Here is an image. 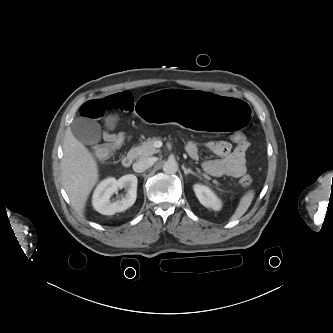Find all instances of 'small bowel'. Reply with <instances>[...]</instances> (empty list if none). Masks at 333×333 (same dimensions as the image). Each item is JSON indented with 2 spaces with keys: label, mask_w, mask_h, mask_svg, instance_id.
<instances>
[{
  "label": "small bowel",
  "mask_w": 333,
  "mask_h": 333,
  "mask_svg": "<svg viewBox=\"0 0 333 333\" xmlns=\"http://www.w3.org/2000/svg\"><path fill=\"white\" fill-rule=\"evenodd\" d=\"M133 108L134 99L132 94L123 91L86 101L81 105L79 111L85 119H100L110 110L132 111ZM206 147L218 156L216 159L203 162L202 167L206 173L215 177L230 176L236 178L245 174L246 153L249 149L247 141L236 145L234 148L224 141H211L206 144ZM186 152L193 159L199 157V147L193 142L187 144Z\"/></svg>",
  "instance_id": "obj_1"
}]
</instances>
